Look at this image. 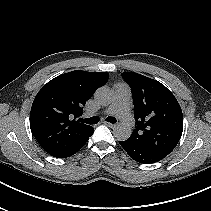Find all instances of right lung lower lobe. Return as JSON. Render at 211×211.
<instances>
[{
	"instance_id": "1",
	"label": "right lung lower lobe",
	"mask_w": 211,
	"mask_h": 211,
	"mask_svg": "<svg viewBox=\"0 0 211 211\" xmlns=\"http://www.w3.org/2000/svg\"><path fill=\"white\" fill-rule=\"evenodd\" d=\"M94 133V129H92V131L86 135L83 139H81L80 141H78L76 144H74L73 146H71L69 149L54 155L53 157L56 158H67L72 156L73 154H75L78 150H80L85 143L88 141L89 137Z\"/></svg>"
}]
</instances>
